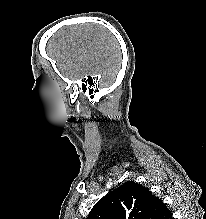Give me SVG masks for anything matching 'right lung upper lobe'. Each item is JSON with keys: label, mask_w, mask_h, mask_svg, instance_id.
<instances>
[{"label": "right lung upper lobe", "mask_w": 206, "mask_h": 219, "mask_svg": "<svg viewBox=\"0 0 206 219\" xmlns=\"http://www.w3.org/2000/svg\"><path fill=\"white\" fill-rule=\"evenodd\" d=\"M86 219H173L148 188L128 181L98 201Z\"/></svg>", "instance_id": "cb5924a9"}]
</instances>
